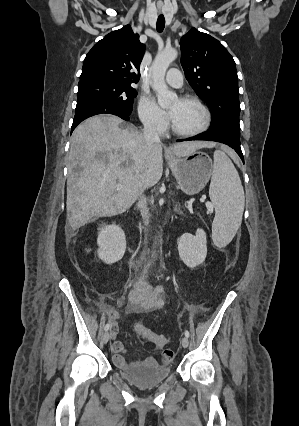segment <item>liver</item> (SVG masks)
<instances>
[{"label": "liver", "mask_w": 299, "mask_h": 426, "mask_svg": "<svg viewBox=\"0 0 299 426\" xmlns=\"http://www.w3.org/2000/svg\"><path fill=\"white\" fill-rule=\"evenodd\" d=\"M214 143L191 141L174 144L172 151L185 157ZM79 168V174L74 172ZM67 221L73 230L93 217H110L128 210L140 195L161 179L162 145L148 146L143 134L111 115H98L73 132L68 157ZM122 189L117 190L116 185Z\"/></svg>", "instance_id": "6515ba94"}]
</instances>
